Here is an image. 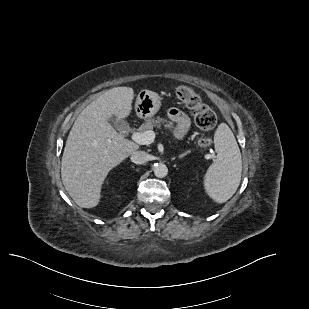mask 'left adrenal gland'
I'll return each instance as SVG.
<instances>
[{
  "label": "left adrenal gland",
  "instance_id": "obj_1",
  "mask_svg": "<svg viewBox=\"0 0 309 309\" xmlns=\"http://www.w3.org/2000/svg\"><path fill=\"white\" fill-rule=\"evenodd\" d=\"M188 153H190V151H187V152H185V153H183V154H180V155H179V158H183V157L186 156Z\"/></svg>",
  "mask_w": 309,
  "mask_h": 309
}]
</instances>
